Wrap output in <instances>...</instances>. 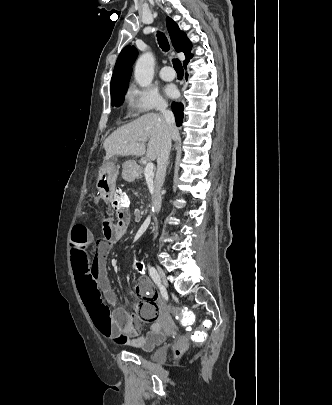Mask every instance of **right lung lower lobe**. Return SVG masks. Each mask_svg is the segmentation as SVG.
Wrapping results in <instances>:
<instances>
[{
  "instance_id": "obj_1",
  "label": "right lung lower lobe",
  "mask_w": 332,
  "mask_h": 405,
  "mask_svg": "<svg viewBox=\"0 0 332 405\" xmlns=\"http://www.w3.org/2000/svg\"><path fill=\"white\" fill-rule=\"evenodd\" d=\"M187 64H188V62L184 64L185 69H186ZM185 77L187 79V74ZM183 109H184V107H183L182 103H177V102L172 103V110L175 115L177 126H181V124L183 122Z\"/></svg>"
}]
</instances>
